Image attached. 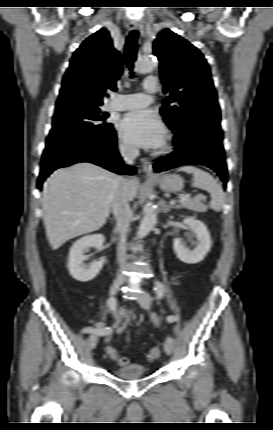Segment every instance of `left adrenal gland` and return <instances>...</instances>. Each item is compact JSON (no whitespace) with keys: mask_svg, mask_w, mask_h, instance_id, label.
Returning <instances> with one entry per match:
<instances>
[{"mask_svg":"<svg viewBox=\"0 0 273 430\" xmlns=\"http://www.w3.org/2000/svg\"><path fill=\"white\" fill-rule=\"evenodd\" d=\"M160 205H161V211H162L163 213H167V212H169V210H170L171 208H173L171 205H167V204H166V202H165L164 200H162V201L160 202Z\"/></svg>","mask_w":273,"mask_h":430,"instance_id":"left-adrenal-gland-1","label":"left adrenal gland"}]
</instances>
